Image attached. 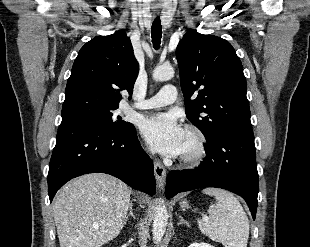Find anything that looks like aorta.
<instances>
[{
	"instance_id": "aorta-1",
	"label": "aorta",
	"mask_w": 310,
	"mask_h": 247,
	"mask_svg": "<svg viewBox=\"0 0 310 247\" xmlns=\"http://www.w3.org/2000/svg\"><path fill=\"white\" fill-rule=\"evenodd\" d=\"M174 69L169 65L158 66L153 72V79L155 81H167L174 77ZM168 211L166 209L163 199H160L156 208L153 220V239L158 243L163 238L168 222Z\"/></svg>"
}]
</instances>
